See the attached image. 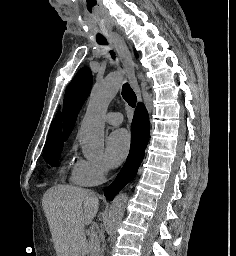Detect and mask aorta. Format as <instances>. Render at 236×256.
<instances>
[{"mask_svg": "<svg viewBox=\"0 0 236 256\" xmlns=\"http://www.w3.org/2000/svg\"><path fill=\"white\" fill-rule=\"evenodd\" d=\"M121 82L122 74L112 73L103 81L94 84L92 88L86 114L81 123L80 139L82 144L97 152H100L103 148L104 115L109 103L119 91ZM127 199V195L121 193L113 200L105 221V230L109 235L115 232L118 223L121 221Z\"/></svg>", "mask_w": 236, "mask_h": 256, "instance_id": "762f6f07", "label": "aorta"}]
</instances>
